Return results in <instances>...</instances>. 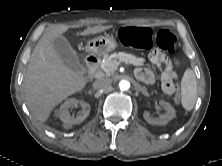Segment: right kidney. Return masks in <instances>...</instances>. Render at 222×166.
Returning <instances> with one entry per match:
<instances>
[{
    "label": "right kidney",
    "mask_w": 222,
    "mask_h": 166,
    "mask_svg": "<svg viewBox=\"0 0 222 166\" xmlns=\"http://www.w3.org/2000/svg\"><path fill=\"white\" fill-rule=\"evenodd\" d=\"M78 103L79 101L76 100L75 98L67 99L55 112V115L62 120L64 128L69 129L74 124L82 123L89 115L91 109L90 105L85 101H81L80 102L82 106L81 113L76 117L70 116L69 108L77 106Z\"/></svg>",
    "instance_id": "obj_1"
}]
</instances>
